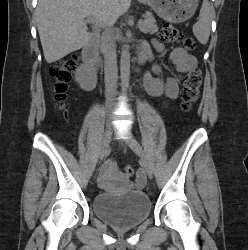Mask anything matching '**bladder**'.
<instances>
[{"mask_svg": "<svg viewBox=\"0 0 248 250\" xmlns=\"http://www.w3.org/2000/svg\"><path fill=\"white\" fill-rule=\"evenodd\" d=\"M93 210L99 218L116 228H131L150 215L151 201L140 190H130L124 194L103 192L95 196Z\"/></svg>", "mask_w": 248, "mask_h": 250, "instance_id": "obj_1", "label": "bladder"}]
</instances>
